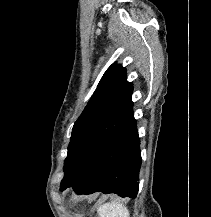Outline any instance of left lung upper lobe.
<instances>
[{
	"mask_svg": "<svg viewBox=\"0 0 211 217\" xmlns=\"http://www.w3.org/2000/svg\"><path fill=\"white\" fill-rule=\"evenodd\" d=\"M132 91L126 69L112 64L73 126L60 187L74 180L101 146L134 118Z\"/></svg>",
	"mask_w": 211,
	"mask_h": 217,
	"instance_id": "5c2ea615",
	"label": "left lung upper lobe"
}]
</instances>
